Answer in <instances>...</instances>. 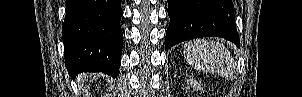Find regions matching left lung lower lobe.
Wrapping results in <instances>:
<instances>
[{
    "label": "left lung lower lobe",
    "mask_w": 302,
    "mask_h": 97,
    "mask_svg": "<svg viewBox=\"0 0 302 97\" xmlns=\"http://www.w3.org/2000/svg\"><path fill=\"white\" fill-rule=\"evenodd\" d=\"M166 48L182 41L218 36L240 46L232 0H168Z\"/></svg>",
    "instance_id": "obj_1"
}]
</instances>
